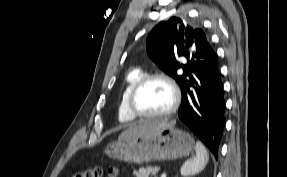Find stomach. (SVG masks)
Listing matches in <instances>:
<instances>
[{
	"mask_svg": "<svg viewBox=\"0 0 287 177\" xmlns=\"http://www.w3.org/2000/svg\"><path fill=\"white\" fill-rule=\"evenodd\" d=\"M193 150L194 139L189 133L166 126L155 132L119 138L106 146L105 153L115 160L141 164L184 158Z\"/></svg>",
	"mask_w": 287,
	"mask_h": 177,
	"instance_id": "stomach-1",
	"label": "stomach"
}]
</instances>
